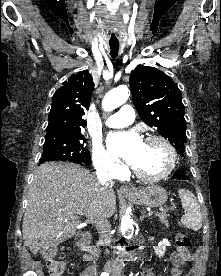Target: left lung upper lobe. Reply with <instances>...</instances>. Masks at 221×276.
Instances as JSON below:
<instances>
[{"label":"left lung upper lobe","instance_id":"5c2ea615","mask_svg":"<svg viewBox=\"0 0 221 276\" xmlns=\"http://www.w3.org/2000/svg\"><path fill=\"white\" fill-rule=\"evenodd\" d=\"M129 84L142 121L157 128V132L184 156L185 108L176 83L154 67L139 65L131 73Z\"/></svg>","mask_w":221,"mask_h":276}]
</instances>
